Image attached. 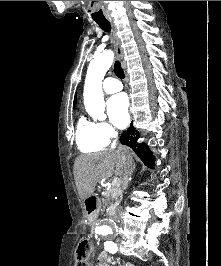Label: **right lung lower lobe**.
<instances>
[{
    "label": "right lung lower lobe",
    "instance_id": "1",
    "mask_svg": "<svg viewBox=\"0 0 221 266\" xmlns=\"http://www.w3.org/2000/svg\"><path fill=\"white\" fill-rule=\"evenodd\" d=\"M135 134V129L131 125L129 129L121 135L120 142L123 145L131 147L146 166H148L149 168H153L155 163L153 160V155L149 150V147L144 143H137V138L135 139Z\"/></svg>",
    "mask_w": 221,
    "mask_h": 266
}]
</instances>
